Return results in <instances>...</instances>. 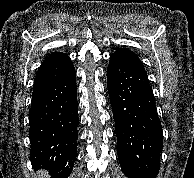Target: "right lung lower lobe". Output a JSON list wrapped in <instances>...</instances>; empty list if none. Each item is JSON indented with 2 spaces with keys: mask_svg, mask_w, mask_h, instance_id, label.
Instances as JSON below:
<instances>
[{
  "mask_svg": "<svg viewBox=\"0 0 194 178\" xmlns=\"http://www.w3.org/2000/svg\"><path fill=\"white\" fill-rule=\"evenodd\" d=\"M75 70L63 78L33 86L29 109L30 161L67 178L77 157L78 102Z\"/></svg>",
  "mask_w": 194,
  "mask_h": 178,
  "instance_id": "98d812e1",
  "label": "right lung lower lobe"
}]
</instances>
